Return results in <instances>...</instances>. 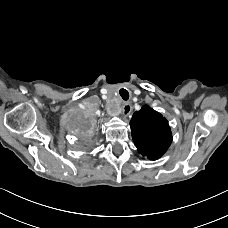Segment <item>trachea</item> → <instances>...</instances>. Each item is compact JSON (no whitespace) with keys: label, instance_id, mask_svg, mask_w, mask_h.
I'll list each match as a JSON object with an SVG mask.
<instances>
[{"label":"trachea","instance_id":"3493384b","mask_svg":"<svg viewBox=\"0 0 228 228\" xmlns=\"http://www.w3.org/2000/svg\"><path fill=\"white\" fill-rule=\"evenodd\" d=\"M119 94L122 97L123 100L129 99V92L126 89H120Z\"/></svg>","mask_w":228,"mask_h":228}]
</instances>
